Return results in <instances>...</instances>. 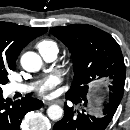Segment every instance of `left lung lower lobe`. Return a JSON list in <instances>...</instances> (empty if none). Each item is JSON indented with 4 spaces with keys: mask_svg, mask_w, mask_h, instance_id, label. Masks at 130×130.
Listing matches in <instances>:
<instances>
[{
    "mask_svg": "<svg viewBox=\"0 0 130 130\" xmlns=\"http://www.w3.org/2000/svg\"><path fill=\"white\" fill-rule=\"evenodd\" d=\"M68 100L87 107V98L82 100ZM118 105L109 100L103 105V113L99 117H95L87 114L84 108L79 111L73 107H68L65 103L64 117L54 125L53 130H105L112 120Z\"/></svg>",
    "mask_w": 130,
    "mask_h": 130,
    "instance_id": "obj_1",
    "label": "left lung lower lobe"
}]
</instances>
